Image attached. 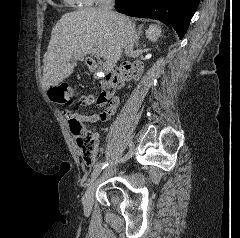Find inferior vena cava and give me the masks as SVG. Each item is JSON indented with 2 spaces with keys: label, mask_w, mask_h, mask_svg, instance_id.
Returning a JSON list of instances; mask_svg holds the SVG:
<instances>
[{
  "label": "inferior vena cava",
  "mask_w": 240,
  "mask_h": 238,
  "mask_svg": "<svg viewBox=\"0 0 240 238\" xmlns=\"http://www.w3.org/2000/svg\"><path fill=\"white\" fill-rule=\"evenodd\" d=\"M115 5V0H99L98 11L111 20H119L117 14L112 10ZM136 41V31L133 27H129L124 35L123 49L127 56L133 53L134 44Z\"/></svg>",
  "instance_id": "1"
}]
</instances>
